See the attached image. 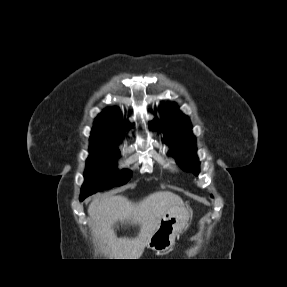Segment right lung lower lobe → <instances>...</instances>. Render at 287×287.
<instances>
[{"instance_id":"1","label":"right lung lower lobe","mask_w":287,"mask_h":287,"mask_svg":"<svg viewBox=\"0 0 287 287\" xmlns=\"http://www.w3.org/2000/svg\"><path fill=\"white\" fill-rule=\"evenodd\" d=\"M86 198V196H80V201H83Z\"/></svg>"}]
</instances>
